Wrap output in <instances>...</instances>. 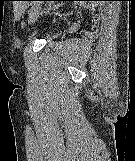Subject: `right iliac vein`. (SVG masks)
<instances>
[{"label": "right iliac vein", "mask_w": 135, "mask_h": 161, "mask_svg": "<svg viewBox=\"0 0 135 161\" xmlns=\"http://www.w3.org/2000/svg\"><path fill=\"white\" fill-rule=\"evenodd\" d=\"M41 12V5L40 4H35L29 14V23L33 24L35 21L38 19L39 15Z\"/></svg>", "instance_id": "obj_1"}]
</instances>
